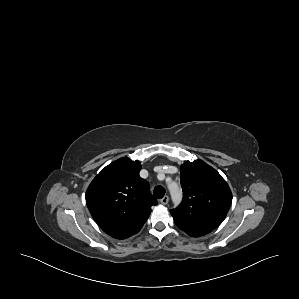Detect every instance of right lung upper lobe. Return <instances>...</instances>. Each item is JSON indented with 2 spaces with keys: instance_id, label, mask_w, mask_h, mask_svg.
Here are the masks:
<instances>
[{
  "instance_id": "obj_1",
  "label": "right lung upper lobe",
  "mask_w": 299,
  "mask_h": 299,
  "mask_svg": "<svg viewBox=\"0 0 299 299\" xmlns=\"http://www.w3.org/2000/svg\"><path fill=\"white\" fill-rule=\"evenodd\" d=\"M141 164L128 157L106 166L86 191L88 209L102 230L115 239L140 231L157 201L139 176Z\"/></svg>"
}]
</instances>
